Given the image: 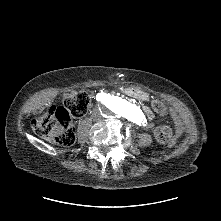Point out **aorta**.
Returning a JSON list of instances; mask_svg holds the SVG:
<instances>
[{"mask_svg": "<svg viewBox=\"0 0 221 221\" xmlns=\"http://www.w3.org/2000/svg\"><path fill=\"white\" fill-rule=\"evenodd\" d=\"M112 110L137 125H141L143 123L144 114L141 109L128 102L123 103L115 100L113 101Z\"/></svg>", "mask_w": 221, "mask_h": 221, "instance_id": "1", "label": "aorta"}]
</instances>
